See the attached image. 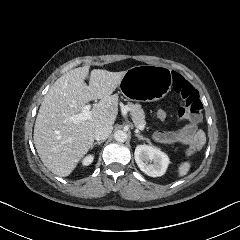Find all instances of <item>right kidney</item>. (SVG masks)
Masks as SVG:
<instances>
[{
    "label": "right kidney",
    "instance_id": "1",
    "mask_svg": "<svg viewBox=\"0 0 240 240\" xmlns=\"http://www.w3.org/2000/svg\"><path fill=\"white\" fill-rule=\"evenodd\" d=\"M94 159H95V154L89 153L80 160V166L83 168H86L93 163Z\"/></svg>",
    "mask_w": 240,
    "mask_h": 240
}]
</instances>
